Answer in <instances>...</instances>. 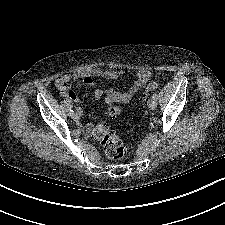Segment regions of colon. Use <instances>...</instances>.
Listing matches in <instances>:
<instances>
[{"instance_id":"obj_1","label":"colon","mask_w":225,"mask_h":225,"mask_svg":"<svg viewBox=\"0 0 225 225\" xmlns=\"http://www.w3.org/2000/svg\"><path fill=\"white\" fill-rule=\"evenodd\" d=\"M159 85L157 83L149 84L143 92V100L147 101L148 96L157 91ZM121 109L116 106H110L107 109V114L115 118L121 114ZM93 138L99 142L107 158L111 160L123 159L129 150L126 145L107 124H98L92 131Z\"/></svg>"}]
</instances>
